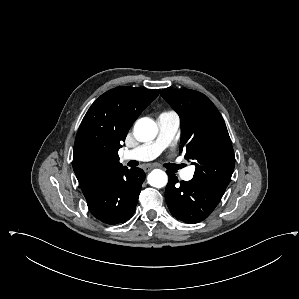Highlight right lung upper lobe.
Masks as SVG:
<instances>
[{
	"instance_id": "cb5924a9",
	"label": "right lung upper lobe",
	"mask_w": 299,
	"mask_h": 299,
	"mask_svg": "<svg viewBox=\"0 0 299 299\" xmlns=\"http://www.w3.org/2000/svg\"><path fill=\"white\" fill-rule=\"evenodd\" d=\"M160 90L120 87L102 94L84 116L74 144L73 169L84 196L122 168L118 150L140 113Z\"/></svg>"
}]
</instances>
